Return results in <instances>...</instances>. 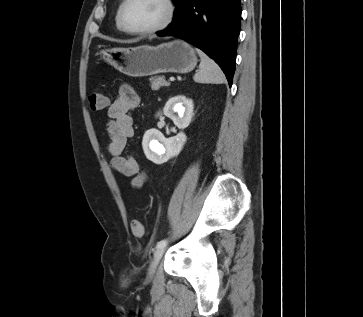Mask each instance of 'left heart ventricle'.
<instances>
[{"instance_id": "left-heart-ventricle-1", "label": "left heart ventricle", "mask_w": 363, "mask_h": 317, "mask_svg": "<svg viewBox=\"0 0 363 317\" xmlns=\"http://www.w3.org/2000/svg\"><path fill=\"white\" fill-rule=\"evenodd\" d=\"M165 14L162 0H130L124 11V20L130 29H145L159 24Z\"/></svg>"}]
</instances>
